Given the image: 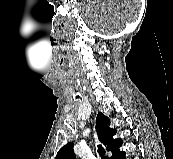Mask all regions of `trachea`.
Wrapping results in <instances>:
<instances>
[{
	"label": "trachea",
	"instance_id": "trachea-1",
	"mask_svg": "<svg viewBox=\"0 0 173 159\" xmlns=\"http://www.w3.org/2000/svg\"><path fill=\"white\" fill-rule=\"evenodd\" d=\"M98 153L101 156V159H108V157L105 156L104 148L101 145H98Z\"/></svg>",
	"mask_w": 173,
	"mask_h": 159
}]
</instances>
